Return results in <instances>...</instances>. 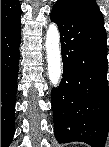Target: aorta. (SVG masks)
<instances>
[{
	"label": "aorta",
	"mask_w": 109,
	"mask_h": 147,
	"mask_svg": "<svg viewBox=\"0 0 109 147\" xmlns=\"http://www.w3.org/2000/svg\"><path fill=\"white\" fill-rule=\"evenodd\" d=\"M48 75L53 86H57L62 75L59 30L55 23L49 25L46 33Z\"/></svg>",
	"instance_id": "762f6f07"
}]
</instances>
